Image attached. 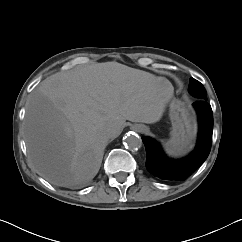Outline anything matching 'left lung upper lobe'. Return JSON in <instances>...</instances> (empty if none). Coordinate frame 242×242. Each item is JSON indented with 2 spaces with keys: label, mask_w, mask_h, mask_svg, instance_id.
Listing matches in <instances>:
<instances>
[{
  "label": "left lung upper lobe",
  "mask_w": 242,
  "mask_h": 242,
  "mask_svg": "<svg viewBox=\"0 0 242 242\" xmlns=\"http://www.w3.org/2000/svg\"><path fill=\"white\" fill-rule=\"evenodd\" d=\"M189 92L198 99L207 100L205 88L194 78H190Z\"/></svg>",
  "instance_id": "5c2ea615"
}]
</instances>
